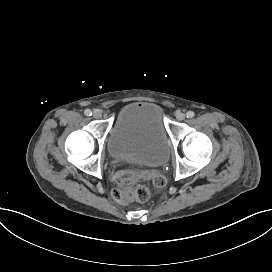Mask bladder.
Returning a JSON list of instances; mask_svg holds the SVG:
<instances>
[{
    "mask_svg": "<svg viewBox=\"0 0 272 272\" xmlns=\"http://www.w3.org/2000/svg\"><path fill=\"white\" fill-rule=\"evenodd\" d=\"M159 105L132 104L123 107L108 135L111 157L141 165L162 166L169 156L167 133Z\"/></svg>",
    "mask_w": 272,
    "mask_h": 272,
    "instance_id": "bladder-1",
    "label": "bladder"
}]
</instances>
